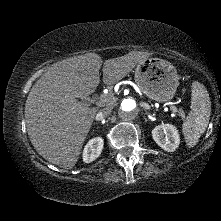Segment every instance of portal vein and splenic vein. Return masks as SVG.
I'll return each instance as SVG.
<instances>
[{
    "instance_id": "obj_1",
    "label": "portal vein and splenic vein",
    "mask_w": 221,
    "mask_h": 221,
    "mask_svg": "<svg viewBox=\"0 0 221 221\" xmlns=\"http://www.w3.org/2000/svg\"><path fill=\"white\" fill-rule=\"evenodd\" d=\"M107 98H106V96L105 95H101L100 96V101H102V102H107ZM169 106H170V109H171V111L173 112V113H176V112H178V109L175 107V106H173V105H170V104H168Z\"/></svg>"
}]
</instances>
